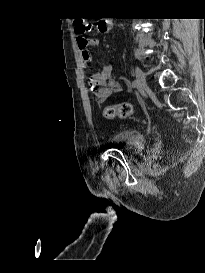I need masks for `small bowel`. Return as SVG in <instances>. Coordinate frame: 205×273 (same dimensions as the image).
I'll return each instance as SVG.
<instances>
[{
    "label": "small bowel",
    "mask_w": 205,
    "mask_h": 273,
    "mask_svg": "<svg viewBox=\"0 0 205 273\" xmlns=\"http://www.w3.org/2000/svg\"><path fill=\"white\" fill-rule=\"evenodd\" d=\"M76 42L82 61L84 63L91 62L92 54L89 48L97 46L98 39L78 36ZM88 83L98 103L106 102L113 94L120 92L122 89L121 84L113 78V66L109 63L102 64L98 71L92 72L88 77Z\"/></svg>",
    "instance_id": "small-bowel-1"
}]
</instances>
